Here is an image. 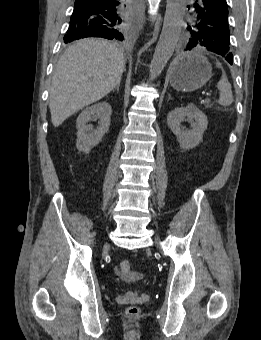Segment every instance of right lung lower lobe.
<instances>
[{
  "mask_svg": "<svg viewBox=\"0 0 261 340\" xmlns=\"http://www.w3.org/2000/svg\"><path fill=\"white\" fill-rule=\"evenodd\" d=\"M127 0H75L67 34L110 38L109 32L124 17Z\"/></svg>",
  "mask_w": 261,
  "mask_h": 340,
  "instance_id": "1",
  "label": "right lung lower lobe"
}]
</instances>
